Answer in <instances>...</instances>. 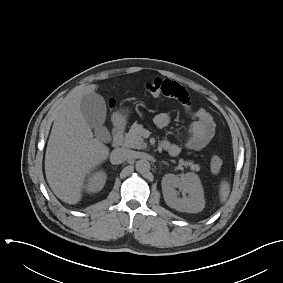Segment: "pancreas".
Instances as JSON below:
<instances>
[{
	"instance_id": "1",
	"label": "pancreas",
	"mask_w": 283,
	"mask_h": 283,
	"mask_svg": "<svg viewBox=\"0 0 283 283\" xmlns=\"http://www.w3.org/2000/svg\"><path fill=\"white\" fill-rule=\"evenodd\" d=\"M144 128L142 125L134 123L129 132L124 137V147L127 148H135V149H145L147 144L144 142L142 138V132ZM179 164L185 167H190L191 170L199 171L200 166L198 164H194L193 161H184L183 159L179 160Z\"/></svg>"
}]
</instances>
